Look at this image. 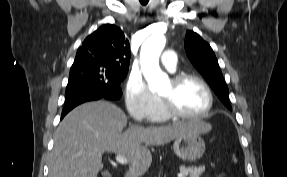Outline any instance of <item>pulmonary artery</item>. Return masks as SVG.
I'll return each instance as SVG.
<instances>
[{
    "label": "pulmonary artery",
    "instance_id": "e3ab8cb5",
    "mask_svg": "<svg viewBox=\"0 0 287 177\" xmlns=\"http://www.w3.org/2000/svg\"><path fill=\"white\" fill-rule=\"evenodd\" d=\"M162 64L170 71H174L177 65L176 53L172 49H167L162 55Z\"/></svg>",
    "mask_w": 287,
    "mask_h": 177
}]
</instances>
